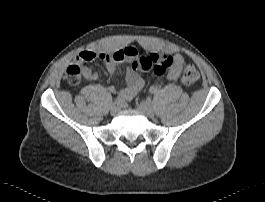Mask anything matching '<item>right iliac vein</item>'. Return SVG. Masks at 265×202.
Returning a JSON list of instances; mask_svg holds the SVG:
<instances>
[{
  "instance_id": "1",
  "label": "right iliac vein",
  "mask_w": 265,
  "mask_h": 202,
  "mask_svg": "<svg viewBox=\"0 0 265 202\" xmlns=\"http://www.w3.org/2000/svg\"><path fill=\"white\" fill-rule=\"evenodd\" d=\"M120 110V104L118 103H113L111 108H110V112L112 115H115L118 111Z\"/></svg>"
}]
</instances>
